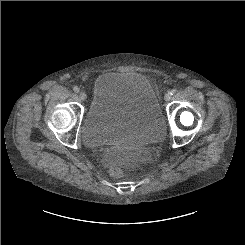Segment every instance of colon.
<instances>
[{"mask_svg":"<svg viewBox=\"0 0 245 245\" xmlns=\"http://www.w3.org/2000/svg\"><path fill=\"white\" fill-rule=\"evenodd\" d=\"M110 172L112 175L114 176H122L123 175V170L121 167L119 166H113L111 169H110Z\"/></svg>","mask_w":245,"mask_h":245,"instance_id":"1","label":"colon"}]
</instances>
